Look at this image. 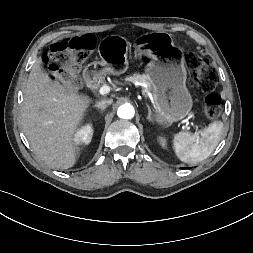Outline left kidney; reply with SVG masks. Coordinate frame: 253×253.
I'll list each match as a JSON object with an SVG mask.
<instances>
[{
    "label": "left kidney",
    "mask_w": 253,
    "mask_h": 253,
    "mask_svg": "<svg viewBox=\"0 0 253 253\" xmlns=\"http://www.w3.org/2000/svg\"><path fill=\"white\" fill-rule=\"evenodd\" d=\"M159 140H160V143L162 146L166 145V140L164 138L161 137V138H159Z\"/></svg>",
    "instance_id": "left-kidney-1"
}]
</instances>
